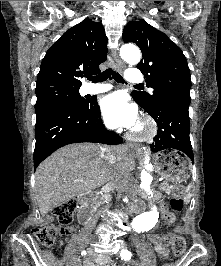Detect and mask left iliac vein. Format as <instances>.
Wrapping results in <instances>:
<instances>
[{"instance_id": "left-iliac-vein-1", "label": "left iliac vein", "mask_w": 221, "mask_h": 266, "mask_svg": "<svg viewBox=\"0 0 221 266\" xmlns=\"http://www.w3.org/2000/svg\"><path fill=\"white\" fill-rule=\"evenodd\" d=\"M133 265H134V266H142L141 263H140V261L137 260V259H134V260H133Z\"/></svg>"}]
</instances>
